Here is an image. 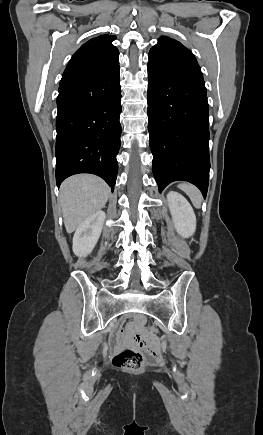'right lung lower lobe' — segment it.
I'll use <instances>...</instances> for the list:
<instances>
[{
    "label": "right lung lower lobe",
    "instance_id": "obj_1",
    "mask_svg": "<svg viewBox=\"0 0 263 435\" xmlns=\"http://www.w3.org/2000/svg\"><path fill=\"white\" fill-rule=\"evenodd\" d=\"M57 108V186L71 175L92 173L113 191L121 143L120 67L60 86Z\"/></svg>",
    "mask_w": 263,
    "mask_h": 435
}]
</instances>
